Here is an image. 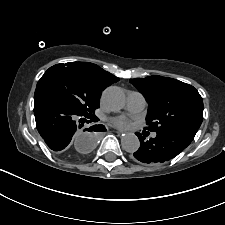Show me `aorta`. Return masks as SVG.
I'll use <instances>...</instances> for the list:
<instances>
[{
	"label": "aorta",
	"instance_id": "obj_1",
	"mask_svg": "<svg viewBox=\"0 0 225 225\" xmlns=\"http://www.w3.org/2000/svg\"><path fill=\"white\" fill-rule=\"evenodd\" d=\"M104 105L112 110L118 111L125 106L126 98L123 90L119 87L107 88L102 96ZM122 148L127 152H135L140 147L138 137L134 133H127L121 138Z\"/></svg>",
	"mask_w": 225,
	"mask_h": 225
}]
</instances>
